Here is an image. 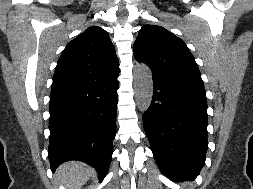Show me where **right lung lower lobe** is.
<instances>
[{
  "label": "right lung lower lobe",
  "instance_id": "right-lung-lower-lobe-1",
  "mask_svg": "<svg viewBox=\"0 0 253 189\" xmlns=\"http://www.w3.org/2000/svg\"><path fill=\"white\" fill-rule=\"evenodd\" d=\"M118 76L93 84L52 86L48 154L53 172L65 161L78 160L104 179L116 130Z\"/></svg>",
  "mask_w": 253,
  "mask_h": 189
}]
</instances>
